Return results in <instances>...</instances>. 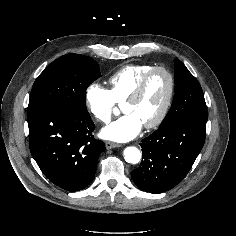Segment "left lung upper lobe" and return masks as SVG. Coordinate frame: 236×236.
I'll list each match as a JSON object with an SVG mask.
<instances>
[{
    "label": "left lung upper lobe",
    "instance_id": "obj_1",
    "mask_svg": "<svg viewBox=\"0 0 236 236\" xmlns=\"http://www.w3.org/2000/svg\"><path fill=\"white\" fill-rule=\"evenodd\" d=\"M207 119L208 111L198 80L176 59L175 95L172 106L159 127L180 120L207 122Z\"/></svg>",
    "mask_w": 236,
    "mask_h": 236
}]
</instances>
